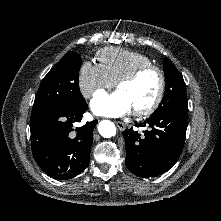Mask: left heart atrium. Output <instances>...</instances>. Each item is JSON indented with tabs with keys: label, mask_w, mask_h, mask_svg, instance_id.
Here are the masks:
<instances>
[{
	"label": "left heart atrium",
	"mask_w": 221,
	"mask_h": 221,
	"mask_svg": "<svg viewBox=\"0 0 221 221\" xmlns=\"http://www.w3.org/2000/svg\"><path fill=\"white\" fill-rule=\"evenodd\" d=\"M91 108L94 113L105 116H122L133 110L127 98L118 90L111 94L98 93L91 101Z\"/></svg>",
	"instance_id": "1"
}]
</instances>
